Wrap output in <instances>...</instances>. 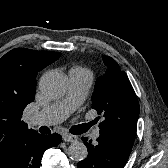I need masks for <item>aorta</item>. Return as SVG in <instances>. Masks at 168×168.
<instances>
[{"label": "aorta", "instance_id": "aorta-1", "mask_svg": "<svg viewBox=\"0 0 168 168\" xmlns=\"http://www.w3.org/2000/svg\"><path fill=\"white\" fill-rule=\"evenodd\" d=\"M39 88L45 97L56 99L66 92L67 79L60 72L50 71L41 77ZM87 154V147L82 142L75 141L68 147V156L74 161L84 160Z\"/></svg>", "mask_w": 168, "mask_h": 168}]
</instances>
